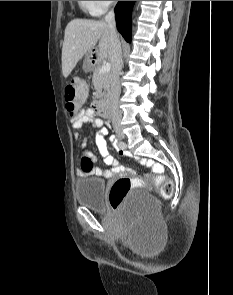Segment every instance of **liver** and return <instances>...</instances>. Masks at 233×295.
Returning a JSON list of instances; mask_svg holds the SVG:
<instances>
[{"instance_id": "obj_1", "label": "liver", "mask_w": 233, "mask_h": 295, "mask_svg": "<svg viewBox=\"0 0 233 295\" xmlns=\"http://www.w3.org/2000/svg\"><path fill=\"white\" fill-rule=\"evenodd\" d=\"M111 32L105 21L74 19L65 28L62 47V73L67 78L78 61L91 51L99 40L97 59L109 54Z\"/></svg>"}]
</instances>
